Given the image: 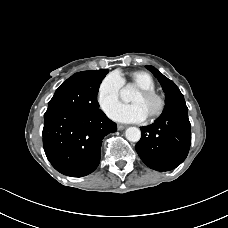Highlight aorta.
<instances>
[{
  "instance_id": "1",
  "label": "aorta",
  "mask_w": 228,
  "mask_h": 228,
  "mask_svg": "<svg viewBox=\"0 0 228 228\" xmlns=\"http://www.w3.org/2000/svg\"><path fill=\"white\" fill-rule=\"evenodd\" d=\"M133 86L127 85L121 89L120 96L123 101L130 102L133 96ZM126 139L130 142H138L141 138V131L137 127H129L125 131Z\"/></svg>"
}]
</instances>
